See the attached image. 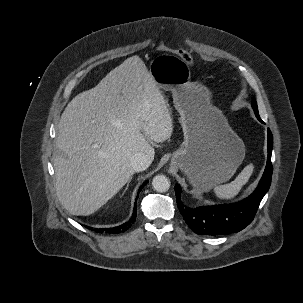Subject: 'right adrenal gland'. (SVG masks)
Returning <instances> with one entry per match:
<instances>
[{
    "instance_id": "right-adrenal-gland-1",
    "label": "right adrenal gland",
    "mask_w": 303,
    "mask_h": 303,
    "mask_svg": "<svg viewBox=\"0 0 303 303\" xmlns=\"http://www.w3.org/2000/svg\"><path fill=\"white\" fill-rule=\"evenodd\" d=\"M131 179H132V177H131V178H130V180L128 181L127 186H126V188H125V190H124L123 194H124V193L126 192V190L128 189L129 184H130V182H131Z\"/></svg>"
}]
</instances>
